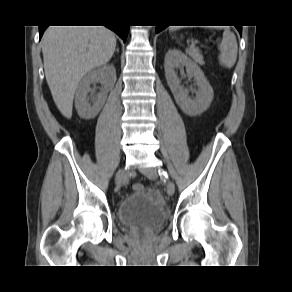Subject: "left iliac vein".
<instances>
[{"mask_svg":"<svg viewBox=\"0 0 292 292\" xmlns=\"http://www.w3.org/2000/svg\"><path fill=\"white\" fill-rule=\"evenodd\" d=\"M141 173L144 174L149 179H155L158 176V172L156 169L149 167H142L140 169ZM166 192L169 196H173L175 193V186L173 182H168L166 185Z\"/></svg>","mask_w":292,"mask_h":292,"instance_id":"1","label":"left iliac vein"}]
</instances>
